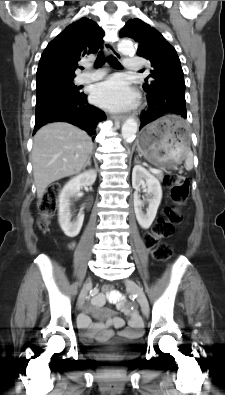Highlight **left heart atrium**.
Instances as JSON below:
<instances>
[{
	"label": "left heart atrium",
	"mask_w": 225,
	"mask_h": 395,
	"mask_svg": "<svg viewBox=\"0 0 225 395\" xmlns=\"http://www.w3.org/2000/svg\"><path fill=\"white\" fill-rule=\"evenodd\" d=\"M134 98L135 94L128 84L118 76L96 85L92 91V100L96 104L113 110L130 106Z\"/></svg>",
	"instance_id": "obj_1"
}]
</instances>
